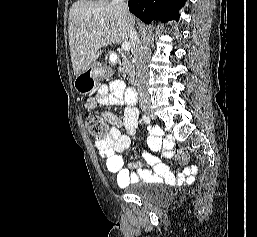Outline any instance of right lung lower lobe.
<instances>
[{"label": "right lung lower lobe", "mask_w": 257, "mask_h": 237, "mask_svg": "<svg viewBox=\"0 0 257 237\" xmlns=\"http://www.w3.org/2000/svg\"><path fill=\"white\" fill-rule=\"evenodd\" d=\"M186 0H129V10L145 23L154 19L163 22L176 19Z\"/></svg>", "instance_id": "1"}]
</instances>
